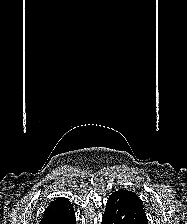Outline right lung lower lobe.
Segmentation results:
<instances>
[{
	"instance_id": "1",
	"label": "right lung lower lobe",
	"mask_w": 187,
	"mask_h": 224,
	"mask_svg": "<svg viewBox=\"0 0 187 224\" xmlns=\"http://www.w3.org/2000/svg\"><path fill=\"white\" fill-rule=\"evenodd\" d=\"M75 222H76L75 213L74 210H72V212L68 216L63 217L53 222L52 224H75Z\"/></svg>"
}]
</instances>
